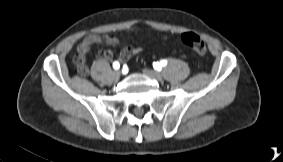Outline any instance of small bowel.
<instances>
[{"mask_svg": "<svg viewBox=\"0 0 283 162\" xmlns=\"http://www.w3.org/2000/svg\"><path fill=\"white\" fill-rule=\"evenodd\" d=\"M119 42H120L119 38L114 35L88 34L83 38L81 43L78 45L76 56L83 58L85 61V55L90 51L92 45L98 44L102 46L105 45L115 46L118 45ZM140 50L141 48L126 47L123 49L121 53L120 60L126 61L131 55L138 53ZM97 57L101 61L110 60L113 57V53L110 49H103L98 53Z\"/></svg>", "mask_w": 283, "mask_h": 162, "instance_id": "c3829d8e", "label": "small bowel"}]
</instances>
